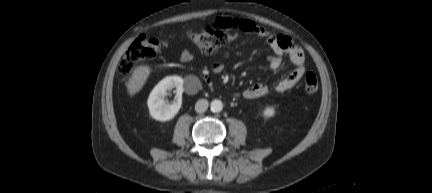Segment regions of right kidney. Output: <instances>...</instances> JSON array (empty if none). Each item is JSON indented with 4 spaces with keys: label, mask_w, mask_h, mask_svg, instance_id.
I'll return each instance as SVG.
<instances>
[{
    "label": "right kidney",
    "mask_w": 432,
    "mask_h": 193,
    "mask_svg": "<svg viewBox=\"0 0 432 193\" xmlns=\"http://www.w3.org/2000/svg\"><path fill=\"white\" fill-rule=\"evenodd\" d=\"M184 80L179 76H167L162 79L151 91L147 105L150 115L158 121H169L179 112L182 105V93ZM176 88L177 101L166 104L164 101L167 90Z\"/></svg>",
    "instance_id": "right-kidney-1"
}]
</instances>
